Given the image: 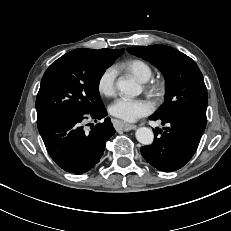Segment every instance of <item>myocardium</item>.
Wrapping results in <instances>:
<instances>
[{
    "mask_svg": "<svg viewBox=\"0 0 231 231\" xmlns=\"http://www.w3.org/2000/svg\"><path fill=\"white\" fill-rule=\"evenodd\" d=\"M166 88L167 82L164 78L155 79L147 86L148 91L157 99L165 94Z\"/></svg>",
    "mask_w": 231,
    "mask_h": 231,
    "instance_id": "myocardium-1",
    "label": "myocardium"
}]
</instances>
